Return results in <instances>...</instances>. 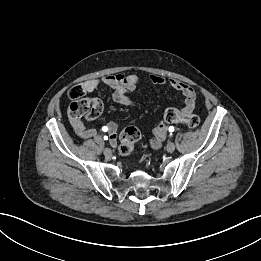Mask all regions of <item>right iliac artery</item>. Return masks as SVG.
Instances as JSON below:
<instances>
[{"label":"right iliac artery","instance_id":"82829eb1","mask_svg":"<svg viewBox=\"0 0 261 261\" xmlns=\"http://www.w3.org/2000/svg\"><path fill=\"white\" fill-rule=\"evenodd\" d=\"M102 130H103L104 132H106V131H107V127L104 126V127L102 128ZM104 140H108V136H104Z\"/></svg>","mask_w":261,"mask_h":261}]
</instances>
